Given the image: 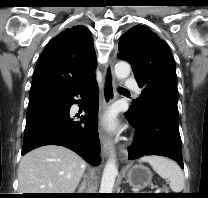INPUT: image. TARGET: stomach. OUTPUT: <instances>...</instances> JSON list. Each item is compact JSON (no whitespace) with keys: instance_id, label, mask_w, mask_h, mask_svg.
Listing matches in <instances>:
<instances>
[{"instance_id":"0dacf381","label":"stomach","mask_w":208,"mask_h":198,"mask_svg":"<svg viewBox=\"0 0 208 198\" xmlns=\"http://www.w3.org/2000/svg\"><path fill=\"white\" fill-rule=\"evenodd\" d=\"M151 180V171L141 164L133 165L127 172V182L134 188L144 189L150 185Z\"/></svg>"}]
</instances>
